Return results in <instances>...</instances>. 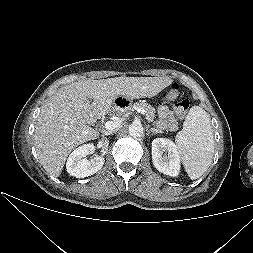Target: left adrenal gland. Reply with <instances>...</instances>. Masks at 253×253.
Wrapping results in <instances>:
<instances>
[{
  "label": "left adrenal gland",
  "instance_id": "left-adrenal-gland-1",
  "mask_svg": "<svg viewBox=\"0 0 253 253\" xmlns=\"http://www.w3.org/2000/svg\"><path fill=\"white\" fill-rule=\"evenodd\" d=\"M150 132H152L153 134L162 133V131L157 130V129H155V128H150V129L148 130V133H150Z\"/></svg>",
  "mask_w": 253,
  "mask_h": 253
}]
</instances>
